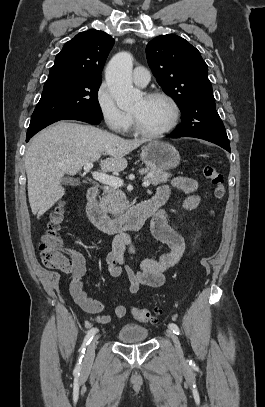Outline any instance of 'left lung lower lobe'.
Instances as JSON below:
<instances>
[{
	"label": "left lung lower lobe",
	"instance_id": "0a47b994",
	"mask_svg": "<svg viewBox=\"0 0 265 407\" xmlns=\"http://www.w3.org/2000/svg\"><path fill=\"white\" fill-rule=\"evenodd\" d=\"M170 137H172V138H179V137H182V136L175 135V134H171ZM215 144H216V143H215ZM217 145L221 146L222 148H224V149H226L228 152H230V145H225V144H220V143H218Z\"/></svg>",
	"mask_w": 265,
	"mask_h": 407
}]
</instances>
